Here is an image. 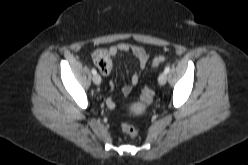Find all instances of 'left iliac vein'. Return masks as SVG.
<instances>
[{
    "label": "left iliac vein",
    "instance_id": "left-iliac-vein-1",
    "mask_svg": "<svg viewBox=\"0 0 248 165\" xmlns=\"http://www.w3.org/2000/svg\"><path fill=\"white\" fill-rule=\"evenodd\" d=\"M167 81V74L165 72L161 73L158 77V82L160 85H164Z\"/></svg>",
    "mask_w": 248,
    "mask_h": 165
}]
</instances>
